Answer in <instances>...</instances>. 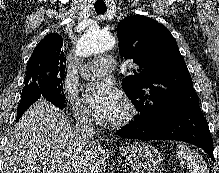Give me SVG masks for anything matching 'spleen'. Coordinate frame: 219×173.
I'll return each instance as SVG.
<instances>
[{"mask_svg": "<svg viewBox=\"0 0 219 173\" xmlns=\"http://www.w3.org/2000/svg\"><path fill=\"white\" fill-rule=\"evenodd\" d=\"M176 153L190 173H209L207 167L202 162V158L195 151L180 144L176 147Z\"/></svg>", "mask_w": 219, "mask_h": 173, "instance_id": "3e777b00", "label": "spleen"}]
</instances>
